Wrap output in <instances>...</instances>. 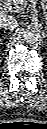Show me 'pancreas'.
I'll use <instances>...</instances> for the list:
<instances>
[{
	"label": "pancreas",
	"mask_w": 47,
	"mask_h": 129,
	"mask_svg": "<svg viewBox=\"0 0 47 129\" xmlns=\"http://www.w3.org/2000/svg\"><path fill=\"white\" fill-rule=\"evenodd\" d=\"M16 1H18V3L20 4L19 9H25L26 8V6H27L26 2L21 3V0H16Z\"/></svg>",
	"instance_id": "1"
}]
</instances>
